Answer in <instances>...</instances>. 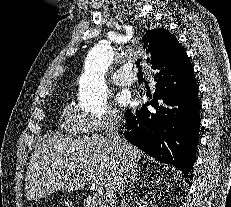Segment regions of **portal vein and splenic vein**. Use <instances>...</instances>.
<instances>
[{"instance_id": "portal-vein-and-splenic-vein-1", "label": "portal vein and splenic vein", "mask_w": 231, "mask_h": 207, "mask_svg": "<svg viewBox=\"0 0 231 207\" xmlns=\"http://www.w3.org/2000/svg\"><path fill=\"white\" fill-rule=\"evenodd\" d=\"M91 189L95 190L97 193L102 194L103 188L101 185L95 181L92 182Z\"/></svg>"}]
</instances>
